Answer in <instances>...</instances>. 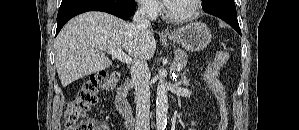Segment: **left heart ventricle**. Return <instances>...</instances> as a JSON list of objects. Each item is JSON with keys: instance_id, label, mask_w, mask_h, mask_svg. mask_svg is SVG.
I'll return each instance as SVG.
<instances>
[{"instance_id": "1", "label": "left heart ventricle", "mask_w": 299, "mask_h": 130, "mask_svg": "<svg viewBox=\"0 0 299 130\" xmlns=\"http://www.w3.org/2000/svg\"><path fill=\"white\" fill-rule=\"evenodd\" d=\"M192 0H176L169 3V10L174 15H181L191 10Z\"/></svg>"}]
</instances>
